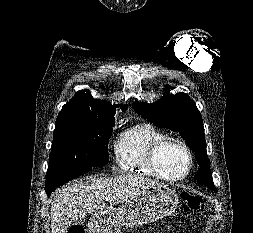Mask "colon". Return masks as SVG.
Returning a JSON list of instances; mask_svg holds the SVG:
<instances>
[{"instance_id":"5ec220e1","label":"colon","mask_w":253,"mask_h":233,"mask_svg":"<svg viewBox=\"0 0 253 233\" xmlns=\"http://www.w3.org/2000/svg\"><path fill=\"white\" fill-rule=\"evenodd\" d=\"M182 198L190 210H199L205 204V198L201 195L184 193ZM68 233H84V228L81 225H73L68 230Z\"/></svg>"}]
</instances>
